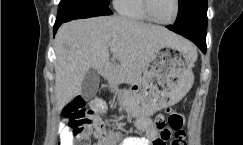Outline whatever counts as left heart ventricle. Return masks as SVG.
<instances>
[{"instance_id":"1","label":"left heart ventricle","mask_w":243,"mask_h":145,"mask_svg":"<svg viewBox=\"0 0 243 145\" xmlns=\"http://www.w3.org/2000/svg\"><path fill=\"white\" fill-rule=\"evenodd\" d=\"M151 11L153 16L162 22L170 21L175 12L174 0H151Z\"/></svg>"}]
</instances>
